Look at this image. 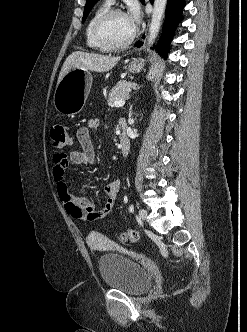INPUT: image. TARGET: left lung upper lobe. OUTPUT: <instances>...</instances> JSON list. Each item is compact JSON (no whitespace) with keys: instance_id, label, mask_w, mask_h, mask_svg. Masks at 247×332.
I'll use <instances>...</instances> for the list:
<instances>
[{"instance_id":"5c2ea615","label":"left lung upper lobe","mask_w":247,"mask_h":332,"mask_svg":"<svg viewBox=\"0 0 247 332\" xmlns=\"http://www.w3.org/2000/svg\"><path fill=\"white\" fill-rule=\"evenodd\" d=\"M97 1L98 0H86L82 23L86 20L88 14L90 13L91 9L93 8V6L96 4Z\"/></svg>"}]
</instances>
